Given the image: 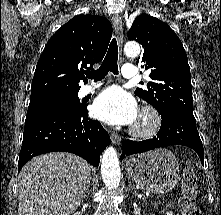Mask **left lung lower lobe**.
I'll return each instance as SVG.
<instances>
[{
  "label": "left lung lower lobe",
  "instance_id": "1",
  "mask_svg": "<svg viewBox=\"0 0 221 215\" xmlns=\"http://www.w3.org/2000/svg\"><path fill=\"white\" fill-rule=\"evenodd\" d=\"M161 118V127L157 136L140 142L125 141L121 159L125 155L142 153L169 145H184L195 150L201 163L204 164L203 145L197 131L194 115L176 112L161 116Z\"/></svg>",
  "mask_w": 221,
  "mask_h": 215
}]
</instances>
